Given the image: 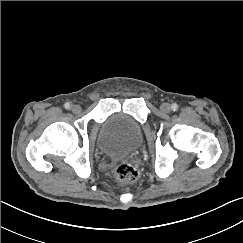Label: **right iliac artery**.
<instances>
[{"instance_id":"right-iliac-artery-1","label":"right iliac artery","mask_w":243,"mask_h":243,"mask_svg":"<svg viewBox=\"0 0 243 243\" xmlns=\"http://www.w3.org/2000/svg\"><path fill=\"white\" fill-rule=\"evenodd\" d=\"M64 107H65V109H70L71 108V104L67 102V103L64 104Z\"/></svg>"}]
</instances>
